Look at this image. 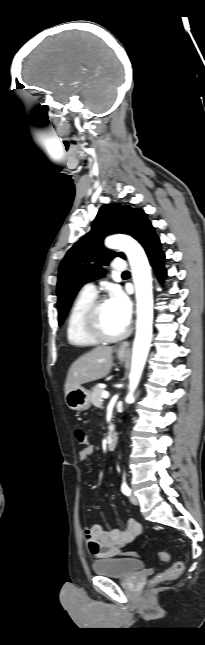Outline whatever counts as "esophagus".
I'll return each mask as SVG.
<instances>
[{
  "instance_id": "obj_1",
  "label": "esophagus",
  "mask_w": 205,
  "mask_h": 645,
  "mask_svg": "<svg viewBox=\"0 0 205 645\" xmlns=\"http://www.w3.org/2000/svg\"><path fill=\"white\" fill-rule=\"evenodd\" d=\"M130 343L128 341L123 342L118 348L119 353H126L129 349Z\"/></svg>"
}]
</instances>
